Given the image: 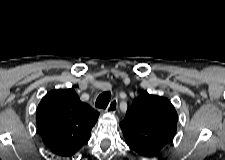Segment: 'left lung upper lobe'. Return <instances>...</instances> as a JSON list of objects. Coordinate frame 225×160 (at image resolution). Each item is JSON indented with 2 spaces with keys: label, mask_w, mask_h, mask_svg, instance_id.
<instances>
[{
  "label": "left lung upper lobe",
  "mask_w": 225,
  "mask_h": 160,
  "mask_svg": "<svg viewBox=\"0 0 225 160\" xmlns=\"http://www.w3.org/2000/svg\"><path fill=\"white\" fill-rule=\"evenodd\" d=\"M177 112L164 97L143 92L128 108L120 123L126 144L138 155H156L174 137Z\"/></svg>",
  "instance_id": "left-lung-upper-lobe-1"
}]
</instances>
